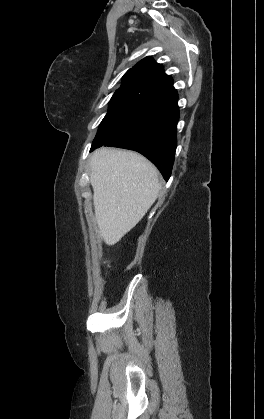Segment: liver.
Instances as JSON below:
<instances>
[{
	"label": "liver",
	"instance_id": "6515ba94",
	"mask_svg": "<svg viewBox=\"0 0 264 419\" xmlns=\"http://www.w3.org/2000/svg\"><path fill=\"white\" fill-rule=\"evenodd\" d=\"M90 184L99 234L107 245L136 226L161 189L158 170L145 157L104 147L91 157Z\"/></svg>",
	"mask_w": 264,
	"mask_h": 419
}]
</instances>
